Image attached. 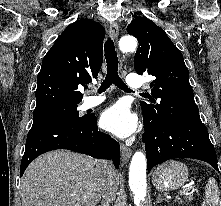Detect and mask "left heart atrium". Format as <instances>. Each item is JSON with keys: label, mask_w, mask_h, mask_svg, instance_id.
I'll list each match as a JSON object with an SVG mask.
<instances>
[{"label": "left heart atrium", "mask_w": 221, "mask_h": 206, "mask_svg": "<svg viewBox=\"0 0 221 206\" xmlns=\"http://www.w3.org/2000/svg\"><path fill=\"white\" fill-rule=\"evenodd\" d=\"M100 123L105 130L119 137L132 134L137 124L136 117L123 102H117L106 109L101 115Z\"/></svg>", "instance_id": "obj_1"}]
</instances>
